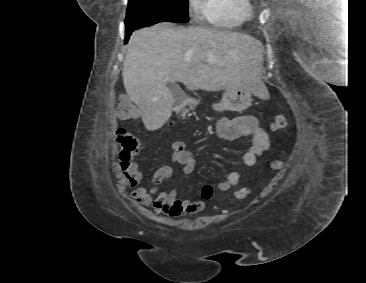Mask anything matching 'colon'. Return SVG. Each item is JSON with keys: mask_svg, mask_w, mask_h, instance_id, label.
<instances>
[{"mask_svg": "<svg viewBox=\"0 0 366 283\" xmlns=\"http://www.w3.org/2000/svg\"><path fill=\"white\" fill-rule=\"evenodd\" d=\"M137 114L135 106L127 99V98H120L117 108H116V115L120 119H131L134 118ZM287 125V119L284 114L278 113L274 116L271 129L272 131H280L281 129L285 128ZM117 140L121 144V151L119 154V158L122 163H129L133 159L134 155L138 150V143L137 140L132 136V134L124 129L120 128L117 130L116 133ZM284 167V162L280 159H275L271 162V168L274 170H280ZM250 194L249 187H242L235 192V198L238 200L245 199ZM212 195V188L209 185H206L203 188L202 197L204 200H207Z\"/></svg>", "mask_w": 366, "mask_h": 283, "instance_id": "5ec220e1", "label": "colon"}]
</instances>
